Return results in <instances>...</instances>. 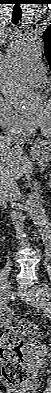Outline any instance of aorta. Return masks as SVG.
Listing matches in <instances>:
<instances>
[{
  "label": "aorta",
  "mask_w": 51,
  "mask_h": 393,
  "mask_svg": "<svg viewBox=\"0 0 51 393\" xmlns=\"http://www.w3.org/2000/svg\"><path fill=\"white\" fill-rule=\"evenodd\" d=\"M44 44L41 38L27 35L13 39L7 49L2 64L3 93L20 112H31L39 105V96L27 81V72L42 57ZM28 213L43 238L44 260L51 257L50 219L38 196L28 195Z\"/></svg>",
  "instance_id": "aorta-1"
}]
</instances>
